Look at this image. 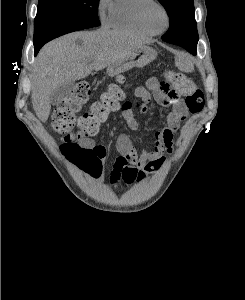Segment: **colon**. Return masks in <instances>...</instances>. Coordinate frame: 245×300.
Masks as SVG:
<instances>
[{"mask_svg":"<svg viewBox=\"0 0 245 300\" xmlns=\"http://www.w3.org/2000/svg\"><path fill=\"white\" fill-rule=\"evenodd\" d=\"M167 81L173 88L185 96V104L192 114L202 111L204 107V93L192 79L175 71L166 73ZM90 85L87 82H78L72 94L60 102L53 114V129L62 135L61 152L85 171L97 176L101 164L97 153L91 148L84 147L82 142L95 136L101 124L106 122L110 114L119 107L124 97L122 81L111 84L101 95L100 100L94 103L89 112L78 119L76 113L90 97ZM139 106V104H136ZM78 124V131L74 127Z\"/></svg>","mask_w":245,"mask_h":300,"instance_id":"1","label":"colon"}]
</instances>
